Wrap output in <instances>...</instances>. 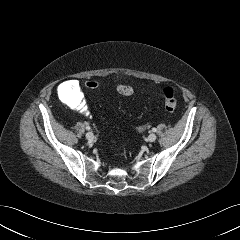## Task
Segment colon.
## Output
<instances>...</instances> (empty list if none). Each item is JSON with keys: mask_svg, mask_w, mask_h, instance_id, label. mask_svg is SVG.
Returning <instances> with one entry per match:
<instances>
[{"mask_svg": "<svg viewBox=\"0 0 240 240\" xmlns=\"http://www.w3.org/2000/svg\"><path fill=\"white\" fill-rule=\"evenodd\" d=\"M85 86L87 89L94 91L98 88V82L95 80H87L85 82ZM117 91L119 94L123 96H130L133 94V88L129 85H119L117 87ZM163 96H164V105L166 110L168 111H174L177 107V99L175 97L174 91L170 87H166L163 90Z\"/></svg>", "mask_w": 240, "mask_h": 240, "instance_id": "1", "label": "colon"}]
</instances>
